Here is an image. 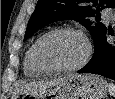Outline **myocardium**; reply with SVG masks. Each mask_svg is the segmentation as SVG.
Listing matches in <instances>:
<instances>
[{
	"label": "myocardium",
	"instance_id": "f54148a6",
	"mask_svg": "<svg viewBox=\"0 0 115 99\" xmlns=\"http://www.w3.org/2000/svg\"><path fill=\"white\" fill-rule=\"evenodd\" d=\"M61 33H71L74 35H77L80 37L84 44H85V53L82 59L72 65V66H67V67H51L48 66L41 58V53H40V48L42 43L48 39L51 36L61 34ZM92 55V45L88 37L79 29L73 28V27H59L52 29L45 34H43L41 37H39L35 44H34V49H33V58L36 66L45 74H60V73H68V72H74L82 67H84L90 60Z\"/></svg>",
	"mask_w": 115,
	"mask_h": 99
}]
</instances>
